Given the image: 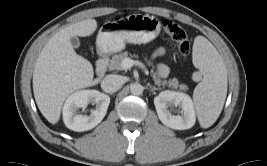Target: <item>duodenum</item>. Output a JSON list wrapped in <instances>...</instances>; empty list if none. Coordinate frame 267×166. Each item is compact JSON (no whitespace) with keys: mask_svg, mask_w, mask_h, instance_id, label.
I'll use <instances>...</instances> for the list:
<instances>
[{"mask_svg":"<svg viewBox=\"0 0 267 166\" xmlns=\"http://www.w3.org/2000/svg\"><path fill=\"white\" fill-rule=\"evenodd\" d=\"M109 55L106 52H102L97 60L96 73L98 76H103L109 65Z\"/></svg>","mask_w":267,"mask_h":166,"instance_id":"1","label":"duodenum"}]
</instances>
